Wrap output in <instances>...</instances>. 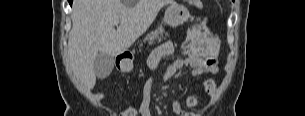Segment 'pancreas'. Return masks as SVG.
<instances>
[{
  "instance_id": "pancreas-1",
  "label": "pancreas",
  "mask_w": 305,
  "mask_h": 116,
  "mask_svg": "<svg viewBox=\"0 0 305 116\" xmlns=\"http://www.w3.org/2000/svg\"><path fill=\"white\" fill-rule=\"evenodd\" d=\"M164 34L165 36H168V33H165L164 28L162 26L156 28L154 31H152L151 33L147 34L144 42H148L149 45L153 44L155 41L157 40H161L164 38Z\"/></svg>"
}]
</instances>
